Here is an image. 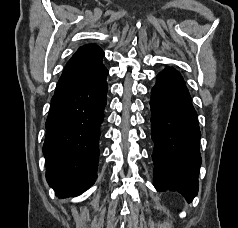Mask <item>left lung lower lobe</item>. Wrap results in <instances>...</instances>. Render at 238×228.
Here are the masks:
<instances>
[{"instance_id": "0a47b994", "label": "left lung lower lobe", "mask_w": 238, "mask_h": 228, "mask_svg": "<svg viewBox=\"0 0 238 228\" xmlns=\"http://www.w3.org/2000/svg\"><path fill=\"white\" fill-rule=\"evenodd\" d=\"M154 187L178 191L189 201L198 192L201 133L185 82L175 69L157 75L151 91Z\"/></svg>"}]
</instances>
